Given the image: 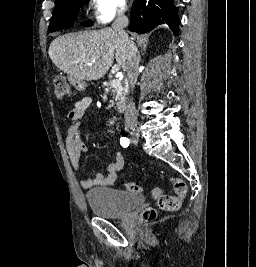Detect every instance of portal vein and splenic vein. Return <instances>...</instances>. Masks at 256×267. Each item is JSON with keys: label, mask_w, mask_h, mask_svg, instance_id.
Segmentation results:
<instances>
[{"label": "portal vein and splenic vein", "mask_w": 256, "mask_h": 267, "mask_svg": "<svg viewBox=\"0 0 256 267\" xmlns=\"http://www.w3.org/2000/svg\"><path fill=\"white\" fill-rule=\"evenodd\" d=\"M119 70H120V66H113L111 72H112V74H116V72L118 74L119 73Z\"/></svg>", "instance_id": "portal-vein-and-splenic-vein-1"}]
</instances>
